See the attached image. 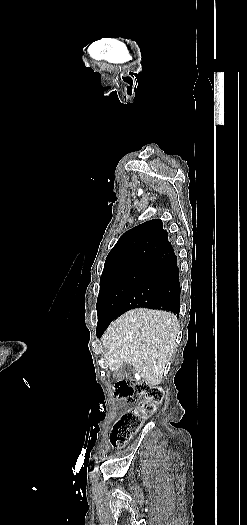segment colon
I'll list each match as a JSON object with an SVG mask.
<instances>
[{
    "label": "colon",
    "instance_id": "obj_1",
    "mask_svg": "<svg viewBox=\"0 0 247 525\" xmlns=\"http://www.w3.org/2000/svg\"><path fill=\"white\" fill-rule=\"evenodd\" d=\"M163 389L145 381L123 379L115 386V396L119 400L139 403L129 408L116 422L110 435L113 447L126 443L140 425L150 418L163 399Z\"/></svg>",
    "mask_w": 247,
    "mask_h": 525
}]
</instances>
